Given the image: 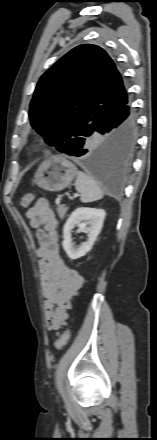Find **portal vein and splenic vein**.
<instances>
[{
  "mask_svg": "<svg viewBox=\"0 0 157 440\" xmlns=\"http://www.w3.org/2000/svg\"><path fill=\"white\" fill-rule=\"evenodd\" d=\"M76 196H78V194H76L75 197H76ZM59 200H60V198L57 199V201H59Z\"/></svg>",
  "mask_w": 157,
  "mask_h": 440,
  "instance_id": "portal-vein-and-splenic-vein-1",
  "label": "portal vein and splenic vein"
}]
</instances>
